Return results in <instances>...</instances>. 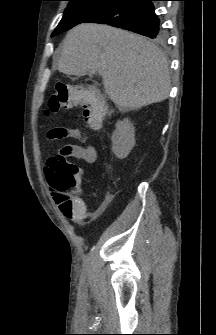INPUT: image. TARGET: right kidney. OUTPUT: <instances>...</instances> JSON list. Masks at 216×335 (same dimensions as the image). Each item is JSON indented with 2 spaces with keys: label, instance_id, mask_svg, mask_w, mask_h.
Wrapping results in <instances>:
<instances>
[{
  "label": "right kidney",
  "instance_id": "1",
  "mask_svg": "<svg viewBox=\"0 0 216 335\" xmlns=\"http://www.w3.org/2000/svg\"><path fill=\"white\" fill-rule=\"evenodd\" d=\"M112 134V152L119 159H125L135 145V128L128 119L117 121Z\"/></svg>",
  "mask_w": 216,
  "mask_h": 335
}]
</instances>
